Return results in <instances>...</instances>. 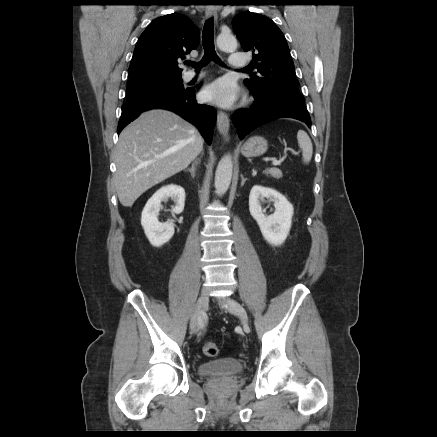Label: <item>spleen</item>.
<instances>
[{"label":"spleen","instance_id":"spleen-1","mask_svg":"<svg viewBox=\"0 0 437 437\" xmlns=\"http://www.w3.org/2000/svg\"><path fill=\"white\" fill-rule=\"evenodd\" d=\"M297 139L299 147L302 150L303 162L307 164L310 162L313 154L311 139L309 138L308 134L303 130L298 131Z\"/></svg>","mask_w":437,"mask_h":437}]
</instances>
